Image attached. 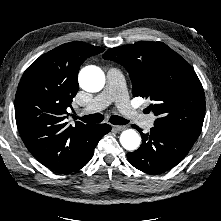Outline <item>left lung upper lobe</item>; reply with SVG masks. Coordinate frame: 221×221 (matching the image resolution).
Masks as SVG:
<instances>
[{"label": "left lung upper lobe", "mask_w": 221, "mask_h": 221, "mask_svg": "<svg viewBox=\"0 0 221 221\" xmlns=\"http://www.w3.org/2000/svg\"><path fill=\"white\" fill-rule=\"evenodd\" d=\"M104 59L124 66L133 96L148 97L154 126L197 140L205 116L202 84L192 67L162 42H136L107 50Z\"/></svg>", "instance_id": "1"}]
</instances>
